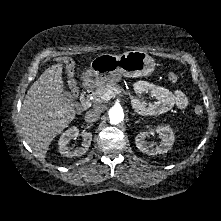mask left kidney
I'll use <instances>...</instances> for the list:
<instances>
[{
    "label": "left kidney",
    "instance_id": "5707ae66",
    "mask_svg": "<svg viewBox=\"0 0 221 221\" xmlns=\"http://www.w3.org/2000/svg\"><path fill=\"white\" fill-rule=\"evenodd\" d=\"M156 132L161 138V142L158 146L153 148L151 145H148L146 142V137H149L150 134H154ZM175 140V136L173 130L169 125L158 126L155 131L150 132H141L136 138V146L142 153H146L148 155H157V154H165L171 148Z\"/></svg>",
    "mask_w": 221,
    "mask_h": 221
}]
</instances>
